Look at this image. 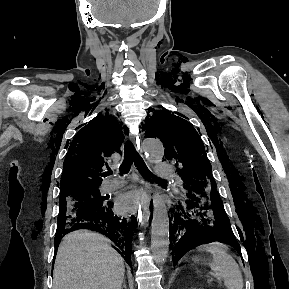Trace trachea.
<instances>
[{
	"mask_svg": "<svg viewBox=\"0 0 289 289\" xmlns=\"http://www.w3.org/2000/svg\"><path fill=\"white\" fill-rule=\"evenodd\" d=\"M133 162L144 178L161 180L148 170L146 164L136 152L132 142L127 141L124 147V160L119 168L120 174H127L130 171ZM110 174H112V171L108 170L104 175L108 176Z\"/></svg>",
	"mask_w": 289,
	"mask_h": 289,
	"instance_id": "obj_1",
	"label": "trachea"
}]
</instances>
